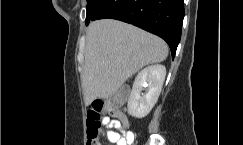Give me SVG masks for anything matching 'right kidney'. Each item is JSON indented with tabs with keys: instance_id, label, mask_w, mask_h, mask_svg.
I'll return each instance as SVG.
<instances>
[{
	"instance_id": "ca27d5eb",
	"label": "right kidney",
	"mask_w": 243,
	"mask_h": 145,
	"mask_svg": "<svg viewBox=\"0 0 243 145\" xmlns=\"http://www.w3.org/2000/svg\"><path fill=\"white\" fill-rule=\"evenodd\" d=\"M166 76L164 65H151L141 70L135 78L128 100V113L144 118L156 104ZM146 89V93L142 91Z\"/></svg>"
}]
</instances>
